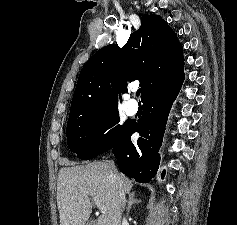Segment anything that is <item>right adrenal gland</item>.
I'll return each mask as SVG.
<instances>
[{"label":"right adrenal gland","instance_id":"obj_1","mask_svg":"<svg viewBox=\"0 0 237 225\" xmlns=\"http://www.w3.org/2000/svg\"><path fill=\"white\" fill-rule=\"evenodd\" d=\"M140 202H141V200H137V199L135 198V193H134V192H132V193L129 194V200H128V206H127V216H128L129 213H130L131 206H132L133 204H139Z\"/></svg>","mask_w":237,"mask_h":225}]
</instances>
